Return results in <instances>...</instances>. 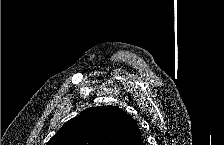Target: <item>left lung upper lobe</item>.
<instances>
[{"label": "left lung upper lobe", "instance_id": "5c2ea615", "mask_svg": "<svg viewBox=\"0 0 224 145\" xmlns=\"http://www.w3.org/2000/svg\"><path fill=\"white\" fill-rule=\"evenodd\" d=\"M136 121L115 106L88 108L66 122L47 145H138Z\"/></svg>", "mask_w": 224, "mask_h": 145}]
</instances>
